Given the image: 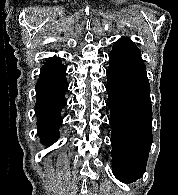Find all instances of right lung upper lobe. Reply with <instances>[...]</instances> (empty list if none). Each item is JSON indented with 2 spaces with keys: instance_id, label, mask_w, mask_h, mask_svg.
<instances>
[{
  "instance_id": "1",
  "label": "right lung upper lobe",
  "mask_w": 178,
  "mask_h": 195,
  "mask_svg": "<svg viewBox=\"0 0 178 195\" xmlns=\"http://www.w3.org/2000/svg\"><path fill=\"white\" fill-rule=\"evenodd\" d=\"M57 61H60V59L57 57H53V58H50V60L47 63H52V62H57Z\"/></svg>"
}]
</instances>
